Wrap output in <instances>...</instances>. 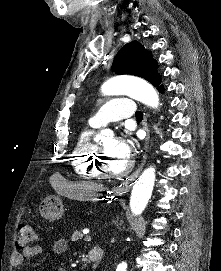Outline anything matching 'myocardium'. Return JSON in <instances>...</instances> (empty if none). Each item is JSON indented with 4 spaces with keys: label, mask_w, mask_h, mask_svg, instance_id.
Segmentation results:
<instances>
[{
    "label": "myocardium",
    "mask_w": 221,
    "mask_h": 271,
    "mask_svg": "<svg viewBox=\"0 0 221 271\" xmlns=\"http://www.w3.org/2000/svg\"><path fill=\"white\" fill-rule=\"evenodd\" d=\"M107 162V158H100V165H98V170L99 172H102L104 178L120 179L122 176L127 175L128 172H134L137 170V165H133V163H136V158H129V161L125 162V166L123 167L124 170H120L119 173H115L113 170H108L107 165H105Z\"/></svg>",
    "instance_id": "1"
}]
</instances>
